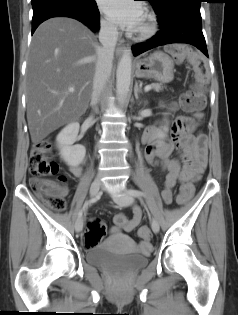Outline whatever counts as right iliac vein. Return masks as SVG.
Returning <instances> with one entry per match:
<instances>
[{"mask_svg":"<svg viewBox=\"0 0 238 315\" xmlns=\"http://www.w3.org/2000/svg\"><path fill=\"white\" fill-rule=\"evenodd\" d=\"M100 188H101V182L99 180H94L90 186V194L92 196H96L99 193ZM82 228H83V219L79 218L76 221L75 230L76 232H80Z\"/></svg>","mask_w":238,"mask_h":315,"instance_id":"obj_1","label":"right iliac vein"}]
</instances>
